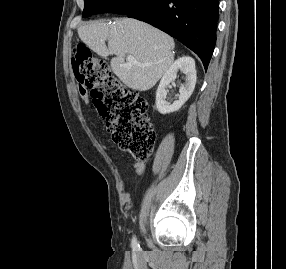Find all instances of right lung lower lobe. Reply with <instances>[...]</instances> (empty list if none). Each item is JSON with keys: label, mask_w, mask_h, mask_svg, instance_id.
<instances>
[{"label": "right lung lower lobe", "mask_w": 286, "mask_h": 269, "mask_svg": "<svg viewBox=\"0 0 286 269\" xmlns=\"http://www.w3.org/2000/svg\"><path fill=\"white\" fill-rule=\"evenodd\" d=\"M218 0H152L128 14L173 36L202 60L205 70L216 42Z\"/></svg>", "instance_id": "98d812e1"}]
</instances>
